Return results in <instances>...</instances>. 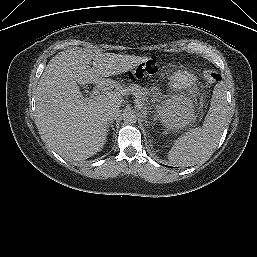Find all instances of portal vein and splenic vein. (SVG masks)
Returning a JSON list of instances; mask_svg holds the SVG:
<instances>
[{
  "instance_id": "portal-vein-and-splenic-vein-1",
  "label": "portal vein and splenic vein",
  "mask_w": 257,
  "mask_h": 257,
  "mask_svg": "<svg viewBox=\"0 0 257 257\" xmlns=\"http://www.w3.org/2000/svg\"><path fill=\"white\" fill-rule=\"evenodd\" d=\"M104 97V95H99V96H97L96 97V99L97 100H100V99H102ZM135 104H136V106H137V101L135 100ZM138 107V106H137Z\"/></svg>"
}]
</instances>
